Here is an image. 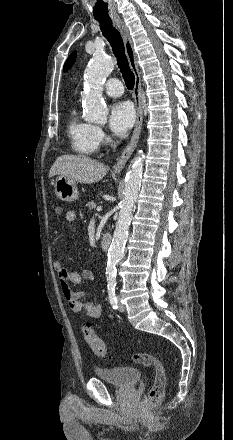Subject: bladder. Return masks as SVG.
<instances>
[{
  "mask_svg": "<svg viewBox=\"0 0 233 440\" xmlns=\"http://www.w3.org/2000/svg\"><path fill=\"white\" fill-rule=\"evenodd\" d=\"M94 376L119 388L134 387L141 372L134 367L94 368Z\"/></svg>",
  "mask_w": 233,
  "mask_h": 440,
  "instance_id": "bladder-1",
  "label": "bladder"
}]
</instances>
